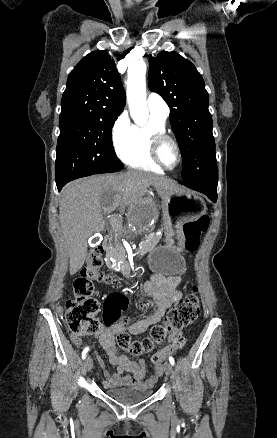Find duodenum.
<instances>
[{"mask_svg":"<svg viewBox=\"0 0 277 438\" xmlns=\"http://www.w3.org/2000/svg\"><path fill=\"white\" fill-rule=\"evenodd\" d=\"M102 248L106 251L111 248V240L109 238L104 239V241L102 243Z\"/></svg>","mask_w":277,"mask_h":438,"instance_id":"410a0bca","label":"duodenum"}]
</instances>
